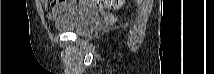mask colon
<instances>
[{
    "instance_id": "obj_1",
    "label": "colon",
    "mask_w": 214,
    "mask_h": 74,
    "mask_svg": "<svg viewBox=\"0 0 214 74\" xmlns=\"http://www.w3.org/2000/svg\"><path fill=\"white\" fill-rule=\"evenodd\" d=\"M88 2H90L91 5L101 9H119L122 8L125 3L124 0H93Z\"/></svg>"
}]
</instances>
